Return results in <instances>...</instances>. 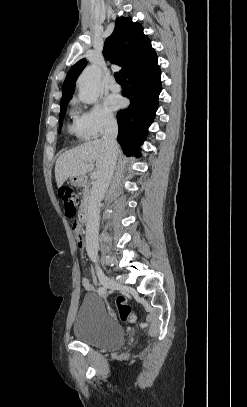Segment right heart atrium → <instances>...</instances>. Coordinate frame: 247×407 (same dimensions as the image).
Returning <instances> with one entry per match:
<instances>
[{
  "instance_id": "1",
  "label": "right heart atrium",
  "mask_w": 247,
  "mask_h": 407,
  "mask_svg": "<svg viewBox=\"0 0 247 407\" xmlns=\"http://www.w3.org/2000/svg\"><path fill=\"white\" fill-rule=\"evenodd\" d=\"M77 122L85 138L94 139L112 128L115 118L104 106L94 103L88 109L77 112Z\"/></svg>"
}]
</instances>
